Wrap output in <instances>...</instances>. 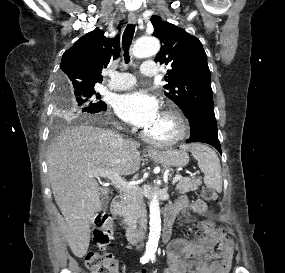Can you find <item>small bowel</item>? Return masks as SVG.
I'll return each mask as SVG.
<instances>
[{"mask_svg": "<svg viewBox=\"0 0 285 273\" xmlns=\"http://www.w3.org/2000/svg\"><path fill=\"white\" fill-rule=\"evenodd\" d=\"M191 206L199 214L206 215L209 207L201 199L181 198L166 210L178 212L184 206ZM203 238L199 242L173 241L167 249L168 268L165 273H229L233 246L212 220L201 222ZM140 273H147L142 270Z\"/></svg>", "mask_w": 285, "mask_h": 273, "instance_id": "small-bowel-1", "label": "small bowel"}]
</instances>
